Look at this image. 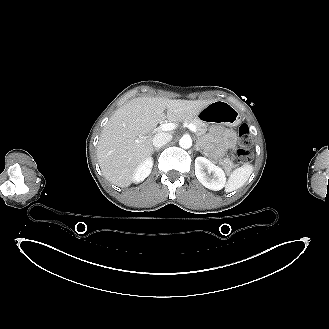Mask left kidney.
<instances>
[{"label":"left kidney","mask_w":329,"mask_h":329,"mask_svg":"<svg viewBox=\"0 0 329 329\" xmlns=\"http://www.w3.org/2000/svg\"><path fill=\"white\" fill-rule=\"evenodd\" d=\"M206 171L211 174L207 175ZM195 174L199 182L208 189L218 191L226 185V175L222 168L204 157L195 159Z\"/></svg>","instance_id":"1"}]
</instances>
